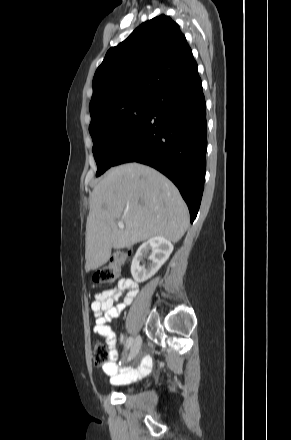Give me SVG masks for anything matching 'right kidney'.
I'll list each match as a JSON object with an SVG mask.
<instances>
[{
	"mask_svg": "<svg viewBox=\"0 0 291 440\" xmlns=\"http://www.w3.org/2000/svg\"><path fill=\"white\" fill-rule=\"evenodd\" d=\"M173 251L172 243L164 237L156 236L148 239L137 250L131 264V274L136 282H144L151 278L166 262ZM147 265L143 258L149 254Z\"/></svg>",
	"mask_w": 291,
	"mask_h": 440,
	"instance_id": "ca27d5eb",
	"label": "right kidney"
}]
</instances>
